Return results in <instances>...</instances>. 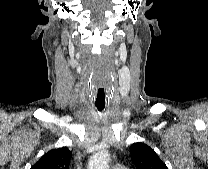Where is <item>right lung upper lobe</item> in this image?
Masks as SVG:
<instances>
[{
  "label": "right lung upper lobe",
  "instance_id": "1",
  "mask_svg": "<svg viewBox=\"0 0 208 169\" xmlns=\"http://www.w3.org/2000/svg\"><path fill=\"white\" fill-rule=\"evenodd\" d=\"M71 151L67 147L52 149L44 154L31 169H69Z\"/></svg>",
  "mask_w": 208,
  "mask_h": 169
}]
</instances>
